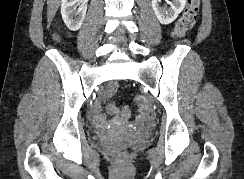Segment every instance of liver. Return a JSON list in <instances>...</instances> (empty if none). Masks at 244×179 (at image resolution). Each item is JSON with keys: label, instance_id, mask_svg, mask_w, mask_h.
Returning a JSON list of instances; mask_svg holds the SVG:
<instances>
[{"label": "liver", "instance_id": "1", "mask_svg": "<svg viewBox=\"0 0 244 179\" xmlns=\"http://www.w3.org/2000/svg\"><path fill=\"white\" fill-rule=\"evenodd\" d=\"M47 28H50V24L60 6V0H47Z\"/></svg>", "mask_w": 244, "mask_h": 179}]
</instances>
